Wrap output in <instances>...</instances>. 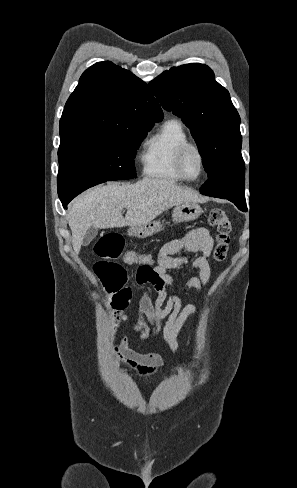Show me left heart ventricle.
<instances>
[{
  "label": "left heart ventricle",
  "instance_id": "left-heart-ventricle-1",
  "mask_svg": "<svg viewBox=\"0 0 297 488\" xmlns=\"http://www.w3.org/2000/svg\"><path fill=\"white\" fill-rule=\"evenodd\" d=\"M200 158L194 150L188 151L184 159V168L188 176L195 177L200 171Z\"/></svg>",
  "mask_w": 297,
  "mask_h": 488
}]
</instances>
